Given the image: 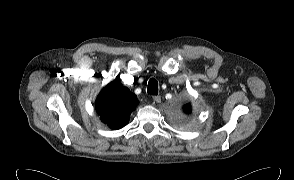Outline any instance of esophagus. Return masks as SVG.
Segmentation results:
<instances>
[{
	"instance_id": "1",
	"label": "esophagus",
	"mask_w": 294,
	"mask_h": 180,
	"mask_svg": "<svg viewBox=\"0 0 294 180\" xmlns=\"http://www.w3.org/2000/svg\"><path fill=\"white\" fill-rule=\"evenodd\" d=\"M153 101L156 103H161V96L159 95L153 96Z\"/></svg>"
}]
</instances>
